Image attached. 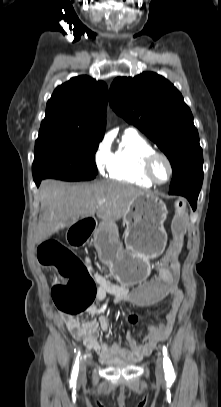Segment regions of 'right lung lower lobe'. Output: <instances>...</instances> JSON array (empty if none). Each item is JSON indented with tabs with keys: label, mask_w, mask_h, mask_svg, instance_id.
<instances>
[{
	"label": "right lung lower lobe",
	"mask_w": 221,
	"mask_h": 407,
	"mask_svg": "<svg viewBox=\"0 0 221 407\" xmlns=\"http://www.w3.org/2000/svg\"><path fill=\"white\" fill-rule=\"evenodd\" d=\"M41 180H42V179L34 178V181H35V183H36L37 186L40 185Z\"/></svg>",
	"instance_id": "1"
}]
</instances>
